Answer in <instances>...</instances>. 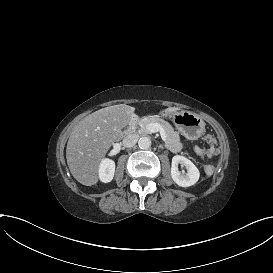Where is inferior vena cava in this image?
I'll use <instances>...</instances> for the list:
<instances>
[{"label": "inferior vena cava", "instance_id": "obj_1", "mask_svg": "<svg viewBox=\"0 0 273 273\" xmlns=\"http://www.w3.org/2000/svg\"><path fill=\"white\" fill-rule=\"evenodd\" d=\"M138 140L139 136L137 134H129L123 139V145L127 148H130L133 147Z\"/></svg>", "mask_w": 273, "mask_h": 273}]
</instances>
